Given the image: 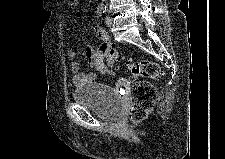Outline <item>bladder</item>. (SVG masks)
Returning <instances> with one entry per match:
<instances>
[{
  "label": "bladder",
  "mask_w": 225,
  "mask_h": 159,
  "mask_svg": "<svg viewBox=\"0 0 225 159\" xmlns=\"http://www.w3.org/2000/svg\"><path fill=\"white\" fill-rule=\"evenodd\" d=\"M73 98L77 104L89 108L104 119L116 120L121 116V98L105 84H84L75 89Z\"/></svg>",
  "instance_id": "bladder-1"
}]
</instances>
